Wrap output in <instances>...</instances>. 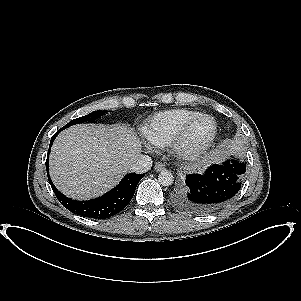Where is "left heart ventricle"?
Segmentation results:
<instances>
[{
	"mask_svg": "<svg viewBox=\"0 0 301 301\" xmlns=\"http://www.w3.org/2000/svg\"><path fill=\"white\" fill-rule=\"evenodd\" d=\"M212 123L210 120L203 119L197 122L189 132L187 142L190 145H199L210 135Z\"/></svg>",
	"mask_w": 301,
	"mask_h": 301,
	"instance_id": "b2bd125f",
	"label": "left heart ventricle"
}]
</instances>
